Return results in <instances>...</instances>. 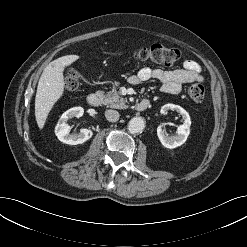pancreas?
I'll use <instances>...</instances> for the list:
<instances>
[{"mask_svg":"<svg viewBox=\"0 0 247 247\" xmlns=\"http://www.w3.org/2000/svg\"><path fill=\"white\" fill-rule=\"evenodd\" d=\"M97 94L100 96L101 102L108 107L116 109L127 108V100L121 96V93L116 88L107 93L98 91Z\"/></svg>","mask_w":247,"mask_h":247,"instance_id":"1","label":"pancreas"}]
</instances>
